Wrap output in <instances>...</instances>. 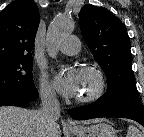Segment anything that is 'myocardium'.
Returning <instances> with one entry per match:
<instances>
[{
    "instance_id": "myocardium-1",
    "label": "myocardium",
    "mask_w": 144,
    "mask_h": 137,
    "mask_svg": "<svg viewBox=\"0 0 144 137\" xmlns=\"http://www.w3.org/2000/svg\"><path fill=\"white\" fill-rule=\"evenodd\" d=\"M81 72L90 73L95 79L94 89L85 96H79L76 98V102L79 104L92 103L102 97L105 91V77L101 69L95 65L86 64L80 68Z\"/></svg>"
}]
</instances>
